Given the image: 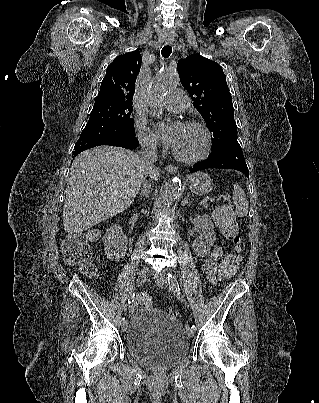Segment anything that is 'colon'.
<instances>
[{"label":"colon","mask_w":319,"mask_h":403,"mask_svg":"<svg viewBox=\"0 0 319 403\" xmlns=\"http://www.w3.org/2000/svg\"><path fill=\"white\" fill-rule=\"evenodd\" d=\"M215 215L223 236L235 245L234 250L225 256L220 265V273L226 277L233 275L242 261L239 246L240 229L233 212L225 205L217 207ZM95 236L92 232H78L65 238L62 243L64 261L70 266L77 267L82 274L88 277H92L96 273V266L91 260L89 247L90 240L94 239ZM136 302L142 309L152 306V299L147 293L138 294ZM170 313L179 314L176 308H170Z\"/></svg>","instance_id":"colon-1"}]
</instances>
